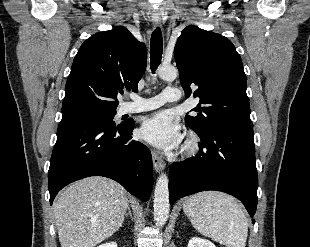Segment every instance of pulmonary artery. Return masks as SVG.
I'll use <instances>...</instances> for the list:
<instances>
[{"instance_id":"pulmonary-artery-1","label":"pulmonary artery","mask_w":310,"mask_h":247,"mask_svg":"<svg viewBox=\"0 0 310 247\" xmlns=\"http://www.w3.org/2000/svg\"><path fill=\"white\" fill-rule=\"evenodd\" d=\"M181 92L177 87L167 86L159 95L151 98H141L133 96L132 101L121 105L119 111L121 114L143 112L160 107L166 102L179 100Z\"/></svg>"}]
</instances>
